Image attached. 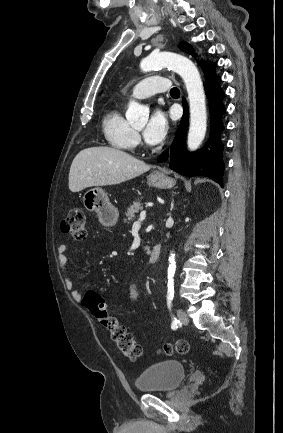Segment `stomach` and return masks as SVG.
I'll return each instance as SVG.
<instances>
[{
    "instance_id": "stomach-1",
    "label": "stomach",
    "mask_w": 283,
    "mask_h": 433,
    "mask_svg": "<svg viewBox=\"0 0 283 433\" xmlns=\"http://www.w3.org/2000/svg\"><path fill=\"white\" fill-rule=\"evenodd\" d=\"M147 180L148 184L158 186V188H171V186L175 184V180H173L171 176H166V174L160 172V170L151 172ZM83 204L87 210H95L98 214V219H101V221H109L110 223V221L114 219L115 223H117L119 217L118 208L111 204L103 188L94 186V188L87 190L83 196Z\"/></svg>"
}]
</instances>
